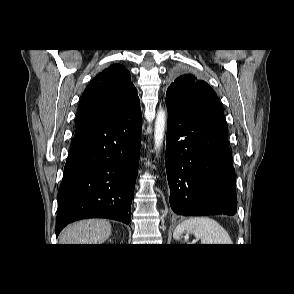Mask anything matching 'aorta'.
Returning <instances> with one entry per match:
<instances>
[{"instance_id": "762f6f07", "label": "aorta", "mask_w": 294, "mask_h": 294, "mask_svg": "<svg viewBox=\"0 0 294 294\" xmlns=\"http://www.w3.org/2000/svg\"><path fill=\"white\" fill-rule=\"evenodd\" d=\"M166 126V112L163 109H159L157 112L155 127H154V146L156 150H160Z\"/></svg>"}]
</instances>
